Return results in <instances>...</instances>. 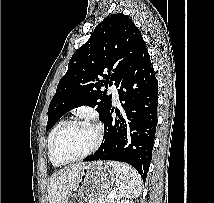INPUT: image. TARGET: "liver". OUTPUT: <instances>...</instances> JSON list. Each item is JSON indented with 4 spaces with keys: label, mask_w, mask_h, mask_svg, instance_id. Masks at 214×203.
Returning <instances> with one entry per match:
<instances>
[{
    "label": "liver",
    "mask_w": 214,
    "mask_h": 203,
    "mask_svg": "<svg viewBox=\"0 0 214 203\" xmlns=\"http://www.w3.org/2000/svg\"><path fill=\"white\" fill-rule=\"evenodd\" d=\"M85 163L74 164L52 175L48 186L49 203H64L74 190Z\"/></svg>",
    "instance_id": "6515ba94"
}]
</instances>
